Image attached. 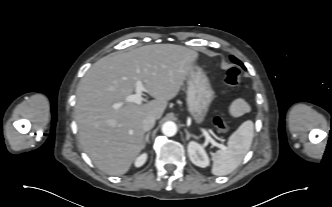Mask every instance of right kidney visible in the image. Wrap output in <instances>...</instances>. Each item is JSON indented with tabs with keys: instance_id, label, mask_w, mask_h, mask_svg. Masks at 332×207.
Here are the masks:
<instances>
[{
	"instance_id": "right-kidney-1",
	"label": "right kidney",
	"mask_w": 332,
	"mask_h": 207,
	"mask_svg": "<svg viewBox=\"0 0 332 207\" xmlns=\"http://www.w3.org/2000/svg\"><path fill=\"white\" fill-rule=\"evenodd\" d=\"M147 160V154L143 153L140 156H138L135 160V166L140 167L142 166Z\"/></svg>"
}]
</instances>
